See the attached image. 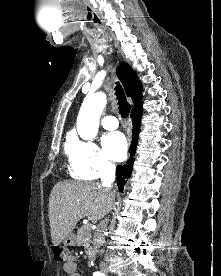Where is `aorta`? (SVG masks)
I'll return each instance as SVG.
<instances>
[{
    "label": "aorta",
    "mask_w": 221,
    "mask_h": 276,
    "mask_svg": "<svg viewBox=\"0 0 221 276\" xmlns=\"http://www.w3.org/2000/svg\"><path fill=\"white\" fill-rule=\"evenodd\" d=\"M107 103L104 93L87 95L77 118V132L84 140H93L99 128V119Z\"/></svg>",
    "instance_id": "1"
}]
</instances>
